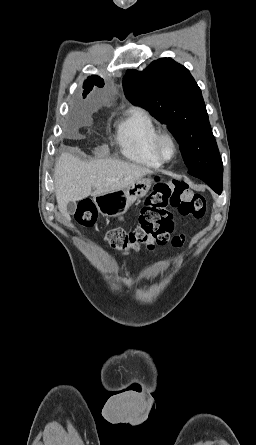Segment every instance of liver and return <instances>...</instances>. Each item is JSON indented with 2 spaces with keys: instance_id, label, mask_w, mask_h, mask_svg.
Instances as JSON below:
<instances>
[{
  "instance_id": "obj_1",
  "label": "liver",
  "mask_w": 256,
  "mask_h": 445,
  "mask_svg": "<svg viewBox=\"0 0 256 445\" xmlns=\"http://www.w3.org/2000/svg\"><path fill=\"white\" fill-rule=\"evenodd\" d=\"M153 171L128 162L100 159L84 162L63 153L55 166L54 185L59 211L68 217L67 204L90 195L121 190Z\"/></svg>"
}]
</instances>
